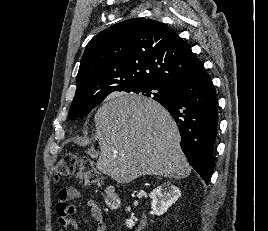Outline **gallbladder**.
<instances>
[{"label": "gallbladder", "mask_w": 268, "mask_h": 231, "mask_svg": "<svg viewBox=\"0 0 268 231\" xmlns=\"http://www.w3.org/2000/svg\"><path fill=\"white\" fill-rule=\"evenodd\" d=\"M87 152H88L90 155H94V154H96V152L93 151V150H88Z\"/></svg>", "instance_id": "obj_1"}]
</instances>
